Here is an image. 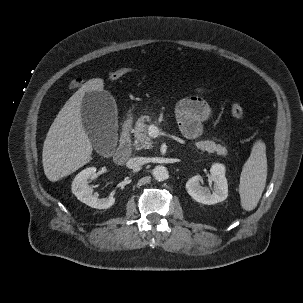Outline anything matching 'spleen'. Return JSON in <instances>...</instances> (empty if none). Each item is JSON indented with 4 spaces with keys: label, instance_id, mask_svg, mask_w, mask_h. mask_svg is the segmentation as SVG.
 I'll return each instance as SVG.
<instances>
[{
    "label": "spleen",
    "instance_id": "1",
    "mask_svg": "<svg viewBox=\"0 0 303 303\" xmlns=\"http://www.w3.org/2000/svg\"><path fill=\"white\" fill-rule=\"evenodd\" d=\"M267 178L266 145L259 139L245 162L239 184L241 206L246 211L253 210L264 191Z\"/></svg>",
    "mask_w": 303,
    "mask_h": 303
}]
</instances>
